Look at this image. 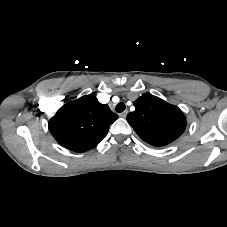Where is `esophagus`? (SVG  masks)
<instances>
[{
  "instance_id": "1",
  "label": "esophagus",
  "mask_w": 227,
  "mask_h": 227,
  "mask_svg": "<svg viewBox=\"0 0 227 227\" xmlns=\"http://www.w3.org/2000/svg\"><path fill=\"white\" fill-rule=\"evenodd\" d=\"M128 114V110L123 111L122 113L119 114L120 117L125 118Z\"/></svg>"
}]
</instances>
